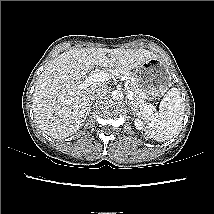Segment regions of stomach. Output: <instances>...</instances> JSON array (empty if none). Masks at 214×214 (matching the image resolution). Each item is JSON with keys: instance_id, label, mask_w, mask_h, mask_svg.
<instances>
[{"instance_id": "1", "label": "stomach", "mask_w": 214, "mask_h": 214, "mask_svg": "<svg viewBox=\"0 0 214 214\" xmlns=\"http://www.w3.org/2000/svg\"><path fill=\"white\" fill-rule=\"evenodd\" d=\"M134 77L138 88L134 99L141 103L162 97L173 84L170 67L157 57L136 68Z\"/></svg>"}]
</instances>
